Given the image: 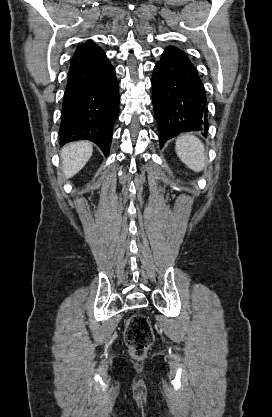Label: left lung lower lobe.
<instances>
[{
    "mask_svg": "<svg viewBox=\"0 0 272 417\" xmlns=\"http://www.w3.org/2000/svg\"><path fill=\"white\" fill-rule=\"evenodd\" d=\"M152 100L161 146L181 132H208L206 92L197 70L174 46L165 49L152 78Z\"/></svg>",
    "mask_w": 272,
    "mask_h": 417,
    "instance_id": "0a47b994",
    "label": "left lung lower lobe"
}]
</instances>
